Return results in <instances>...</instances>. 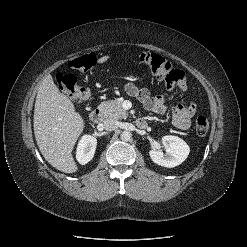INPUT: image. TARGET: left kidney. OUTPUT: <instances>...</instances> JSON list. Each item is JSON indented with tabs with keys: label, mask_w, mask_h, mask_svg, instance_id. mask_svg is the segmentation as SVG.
Returning <instances> with one entry per match:
<instances>
[{
	"label": "left kidney",
	"mask_w": 247,
	"mask_h": 247,
	"mask_svg": "<svg viewBox=\"0 0 247 247\" xmlns=\"http://www.w3.org/2000/svg\"><path fill=\"white\" fill-rule=\"evenodd\" d=\"M162 143L166 151L165 154L159 148L149 151L152 161L160 166L167 168L176 167L185 161L190 153L188 144L177 136H163Z\"/></svg>",
	"instance_id": "1"
}]
</instances>
